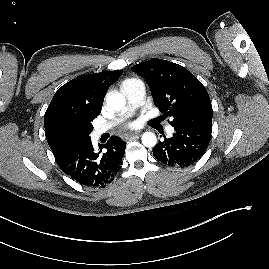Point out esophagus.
I'll return each mask as SVG.
<instances>
[{"mask_svg":"<svg viewBox=\"0 0 269 269\" xmlns=\"http://www.w3.org/2000/svg\"><path fill=\"white\" fill-rule=\"evenodd\" d=\"M135 138H138V133L125 135L126 140H131V139H135Z\"/></svg>","mask_w":269,"mask_h":269,"instance_id":"1","label":"esophagus"}]
</instances>
